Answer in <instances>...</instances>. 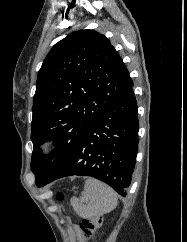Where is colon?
I'll return each instance as SVG.
<instances>
[{
  "label": "colon",
  "mask_w": 187,
  "mask_h": 242,
  "mask_svg": "<svg viewBox=\"0 0 187 242\" xmlns=\"http://www.w3.org/2000/svg\"><path fill=\"white\" fill-rule=\"evenodd\" d=\"M57 198L60 200L63 198L62 194H58ZM102 224V216L96 215L90 218L84 219L80 223V229L85 238H91L95 231L101 226Z\"/></svg>",
  "instance_id": "obj_1"
}]
</instances>
